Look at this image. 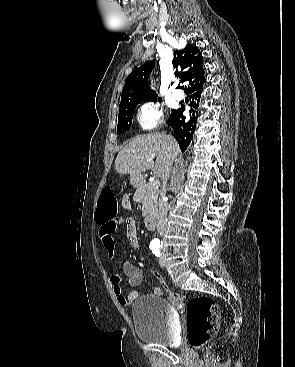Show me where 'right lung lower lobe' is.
I'll use <instances>...</instances> for the list:
<instances>
[{"mask_svg": "<svg viewBox=\"0 0 295 367\" xmlns=\"http://www.w3.org/2000/svg\"><path fill=\"white\" fill-rule=\"evenodd\" d=\"M202 85H198L190 89L187 94L191 99L189 106L190 116H183L184 106L173 110L168 118L167 124L174 129V137L178 140V143L184 151L191 142L192 135L196 128L197 122V108L200 101Z\"/></svg>", "mask_w": 295, "mask_h": 367, "instance_id": "right-lung-lower-lobe-1", "label": "right lung lower lobe"}]
</instances>
